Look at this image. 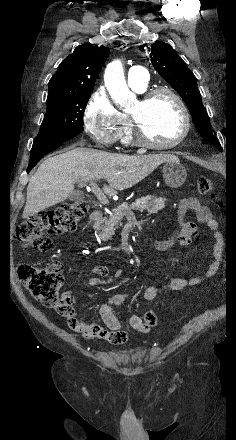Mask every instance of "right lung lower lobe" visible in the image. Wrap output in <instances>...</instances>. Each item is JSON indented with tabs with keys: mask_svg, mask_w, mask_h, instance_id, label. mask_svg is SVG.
<instances>
[{
	"mask_svg": "<svg viewBox=\"0 0 236 440\" xmlns=\"http://www.w3.org/2000/svg\"><path fill=\"white\" fill-rule=\"evenodd\" d=\"M76 135H63L57 137H43L35 138L30 153V163L27 168V173L39 162V160L55 150L63 144V142L75 137Z\"/></svg>",
	"mask_w": 236,
	"mask_h": 440,
	"instance_id": "1",
	"label": "right lung lower lobe"
}]
</instances>
